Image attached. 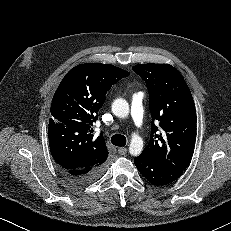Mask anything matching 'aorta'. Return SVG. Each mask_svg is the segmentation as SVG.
<instances>
[{
  "label": "aorta",
  "instance_id": "aorta-1",
  "mask_svg": "<svg viewBox=\"0 0 231 231\" xmlns=\"http://www.w3.org/2000/svg\"><path fill=\"white\" fill-rule=\"evenodd\" d=\"M112 112L119 118H125L129 114V105L123 98H118L112 103ZM143 150V140L137 134H132L131 142L129 145V153L133 156H138Z\"/></svg>",
  "mask_w": 231,
  "mask_h": 231
}]
</instances>
